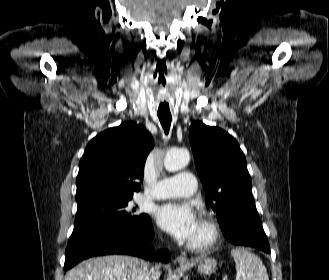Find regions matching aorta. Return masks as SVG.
<instances>
[{
  "instance_id": "762f6f07",
  "label": "aorta",
  "mask_w": 329,
  "mask_h": 280,
  "mask_svg": "<svg viewBox=\"0 0 329 280\" xmlns=\"http://www.w3.org/2000/svg\"><path fill=\"white\" fill-rule=\"evenodd\" d=\"M190 161V154L185 149H170L164 159V167L169 172L183 169Z\"/></svg>"
}]
</instances>
